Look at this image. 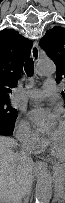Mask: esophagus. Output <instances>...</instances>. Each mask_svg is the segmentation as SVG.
Returning a JSON list of instances; mask_svg holds the SVG:
<instances>
[{"instance_id":"34e87169","label":"esophagus","mask_w":65,"mask_h":203,"mask_svg":"<svg viewBox=\"0 0 65 203\" xmlns=\"http://www.w3.org/2000/svg\"><path fill=\"white\" fill-rule=\"evenodd\" d=\"M31 55H32V58L37 61L39 59V48H38V43L35 41L33 43V47H32V50H31ZM44 163L42 161H37L36 162V168L38 170H41L43 167H44Z\"/></svg>"}]
</instances>
